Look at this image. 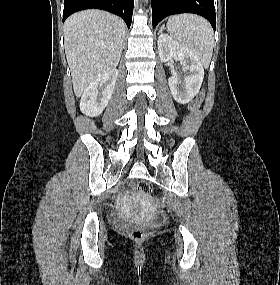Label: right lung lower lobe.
Listing matches in <instances>:
<instances>
[{"label":"right lung lower lobe","instance_id":"98d812e1","mask_svg":"<svg viewBox=\"0 0 280 285\" xmlns=\"http://www.w3.org/2000/svg\"><path fill=\"white\" fill-rule=\"evenodd\" d=\"M134 0H64L63 22L74 12L84 9H102L119 15L130 28Z\"/></svg>","mask_w":280,"mask_h":285}]
</instances>
